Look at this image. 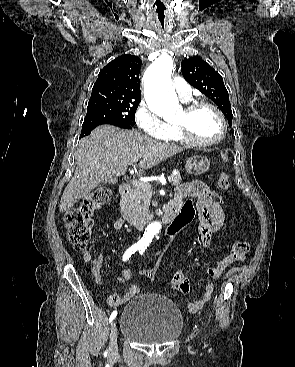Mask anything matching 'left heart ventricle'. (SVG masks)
Here are the masks:
<instances>
[{"label": "left heart ventricle", "mask_w": 295, "mask_h": 367, "mask_svg": "<svg viewBox=\"0 0 295 367\" xmlns=\"http://www.w3.org/2000/svg\"><path fill=\"white\" fill-rule=\"evenodd\" d=\"M176 123L187 124L194 136L202 141L215 140L222 131L218 116L208 107L199 108L191 115H187L183 110L177 117Z\"/></svg>", "instance_id": "obj_1"}]
</instances>
